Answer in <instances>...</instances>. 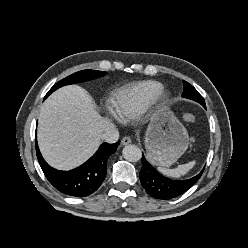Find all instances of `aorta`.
Masks as SVG:
<instances>
[{
    "label": "aorta",
    "mask_w": 248,
    "mask_h": 248,
    "mask_svg": "<svg viewBox=\"0 0 248 248\" xmlns=\"http://www.w3.org/2000/svg\"><path fill=\"white\" fill-rule=\"evenodd\" d=\"M124 159L130 162H137L142 157L141 149L136 145H127L122 150Z\"/></svg>",
    "instance_id": "762f6f07"
}]
</instances>
